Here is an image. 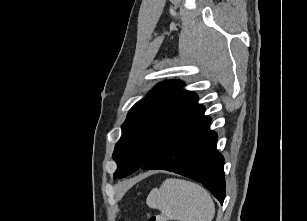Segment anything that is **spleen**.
Returning a JSON list of instances; mask_svg holds the SVG:
<instances>
[{
    "instance_id": "spleen-1",
    "label": "spleen",
    "mask_w": 307,
    "mask_h": 221,
    "mask_svg": "<svg viewBox=\"0 0 307 221\" xmlns=\"http://www.w3.org/2000/svg\"><path fill=\"white\" fill-rule=\"evenodd\" d=\"M146 203L169 220L212 221L215 215L209 193L200 185L182 179H166L159 189L151 190Z\"/></svg>"
}]
</instances>
